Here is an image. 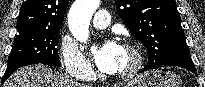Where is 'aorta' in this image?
Returning a JSON list of instances; mask_svg holds the SVG:
<instances>
[{"instance_id":"obj_1","label":"aorta","mask_w":205,"mask_h":87,"mask_svg":"<svg viewBox=\"0 0 205 87\" xmlns=\"http://www.w3.org/2000/svg\"><path fill=\"white\" fill-rule=\"evenodd\" d=\"M100 0H75L68 13V25L73 37L86 43L89 39L90 20L99 7Z\"/></svg>"}]
</instances>
